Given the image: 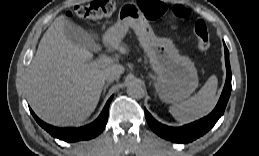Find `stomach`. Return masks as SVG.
<instances>
[{"label": "stomach", "mask_w": 259, "mask_h": 156, "mask_svg": "<svg viewBox=\"0 0 259 156\" xmlns=\"http://www.w3.org/2000/svg\"><path fill=\"white\" fill-rule=\"evenodd\" d=\"M133 28L157 74L155 89L161 100L176 103L188 98L198 87L197 70L192 60L179 54L173 42L157 37L139 9L127 4L120 9L118 21L110 32L117 39Z\"/></svg>", "instance_id": "0dacf381"}]
</instances>
